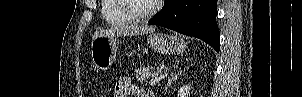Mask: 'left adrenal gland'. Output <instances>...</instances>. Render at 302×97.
Wrapping results in <instances>:
<instances>
[{
    "label": "left adrenal gland",
    "instance_id": "1",
    "mask_svg": "<svg viewBox=\"0 0 302 97\" xmlns=\"http://www.w3.org/2000/svg\"><path fill=\"white\" fill-rule=\"evenodd\" d=\"M191 58H189L190 60ZM189 67H187L186 69H188ZM184 69L183 71H178L177 73L172 74L171 78L168 80V83L165 87V91H167L168 87L172 84L173 81H175L180 75H182L183 72H185Z\"/></svg>",
    "mask_w": 302,
    "mask_h": 97
}]
</instances>
